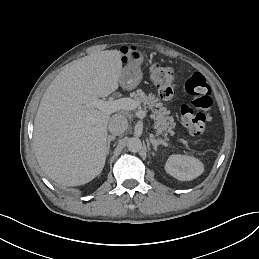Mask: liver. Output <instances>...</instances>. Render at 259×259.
<instances>
[{
	"instance_id": "liver-1",
	"label": "liver",
	"mask_w": 259,
	"mask_h": 259,
	"mask_svg": "<svg viewBox=\"0 0 259 259\" xmlns=\"http://www.w3.org/2000/svg\"><path fill=\"white\" fill-rule=\"evenodd\" d=\"M121 53L105 50L66 65L49 85L34 120L33 150L41 169L57 183L78 186L101 173L110 116L82 108L118 89Z\"/></svg>"
}]
</instances>
